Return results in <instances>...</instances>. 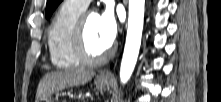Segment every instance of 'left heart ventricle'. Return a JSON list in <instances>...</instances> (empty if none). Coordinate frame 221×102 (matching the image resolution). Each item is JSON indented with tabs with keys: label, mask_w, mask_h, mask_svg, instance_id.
I'll list each match as a JSON object with an SVG mask.
<instances>
[{
	"label": "left heart ventricle",
	"mask_w": 221,
	"mask_h": 102,
	"mask_svg": "<svg viewBox=\"0 0 221 102\" xmlns=\"http://www.w3.org/2000/svg\"><path fill=\"white\" fill-rule=\"evenodd\" d=\"M85 36L88 51L92 55H99L109 47V45L100 38L98 16L95 14H89L86 19Z\"/></svg>",
	"instance_id": "obj_1"
}]
</instances>
